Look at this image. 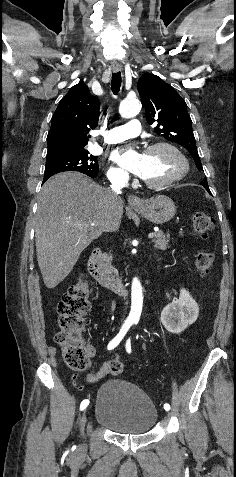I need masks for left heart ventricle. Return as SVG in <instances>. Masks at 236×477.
Returning <instances> with one entry per match:
<instances>
[{"label": "left heart ventricle", "instance_id": "b2bd125f", "mask_svg": "<svg viewBox=\"0 0 236 477\" xmlns=\"http://www.w3.org/2000/svg\"><path fill=\"white\" fill-rule=\"evenodd\" d=\"M182 168L181 160L169 149L160 148L144 154L142 178L161 182L176 175Z\"/></svg>", "mask_w": 236, "mask_h": 477}]
</instances>
